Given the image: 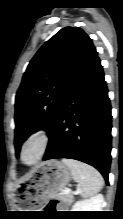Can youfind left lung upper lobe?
Instances as JSON below:
<instances>
[{
    "mask_svg": "<svg viewBox=\"0 0 123 219\" xmlns=\"http://www.w3.org/2000/svg\"><path fill=\"white\" fill-rule=\"evenodd\" d=\"M97 58L90 37L79 27H65L35 54L15 100V148L39 128L51 131L73 85Z\"/></svg>",
    "mask_w": 123,
    "mask_h": 219,
    "instance_id": "5c2ea615",
    "label": "left lung upper lobe"
}]
</instances>
